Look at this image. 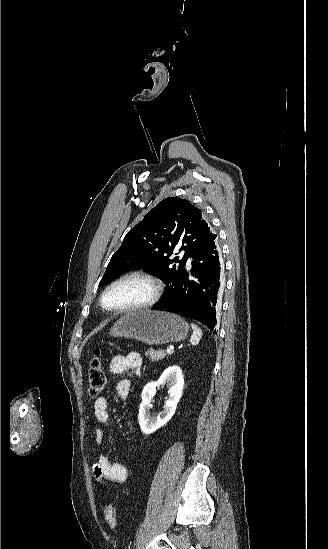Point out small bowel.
I'll list each match as a JSON object with an SVG mask.
<instances>
[{
	"instance_id": "obj_1",
	"label": "small bowel",
	"mask_w": 328,
	"mask_h": 549,
	"mask_svg": "<svg viewBox=\"0 0 328 549\" xmlns=\"http://www.w3.org/2000/svg\"><path fill=\"white\" fill-rule=\"evenodd\" d=\"M142 358L136 352H131L127 355H115L109 363V370L113 374H122L126 371L139 373L142 368ZM130 381L121 379L116 385L118 396L125 400L130 393ZM94 417L98 422L95 428L96 448L99 452V457L94 464V473L98 481H107L112 484L124 483L129 477L128 468L112 459L103 453L104 450V434L105 428L110 422L109 402L105 397H99L94 402Z\"/></svg>"
}]
</instances>
